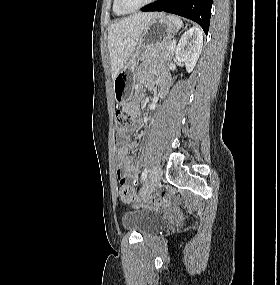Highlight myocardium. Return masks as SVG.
<instances>
[{
	"label": "myocardium",
	"mask_w": 280,
	"mask_h": 285,
	"mask_svg": "<svg viewBox=\"0 0 280 285\" xmlns=\"http://www.w3.org/2000/svg\"><path fill=\"white\" fill-rule=\"evenodd\" d=\"M156 0H146L145 2L137 5V6H128L124 0H117L119 7L125 12H134L141 8L146 7L147 5L155 2Z\"/></svg>",
	"instance_id": "1"
}]
</instances>
